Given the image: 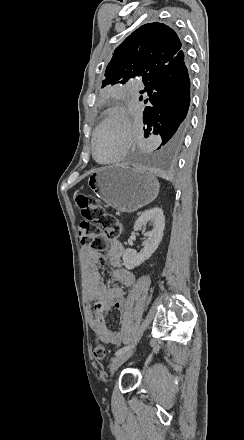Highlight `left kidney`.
Segmentation results:
<instances>
[{"mask_svg":"<svg viewBox=\"0 0 244 440\" xmlns=\"http://www.w3.org/2000/svg\"><path fill=\"white\" fill-rule=\"evenodd\" d=\"M147 222H152L151 232H147L148 236L147 242L143 248L141 254H137L136 250H131L127 248L123 254V266L127 270H133L136 266H140L144 260H148L155 250H157L162 238L163 230L165 228V216L161 208H152V210H146L134 224V232H139V230H145Z\"/></svg>","mask_w":244,"mask_h":440,"instance_id":"5707ae66","label":"left kidney"}]
</instances>
